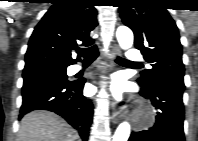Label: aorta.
Masks as SVG:
<instances>
[{
  "label": "aorta",
  "instance_id": "1",
  "mask_svg": "<svg viewBox=\"0 0 198 141\" xmlns=\"http://www.w3.org/2000/svg\"><path fill=\"white\" fill-rule=\"evenodd\" d=\"M116 37L122 49L126 50L132 47L134 37L128 27L120 26L116 31ZM130 130V124L126 121L122 122L115 131L113 141H127L130 136Z\"/></svg>",
  "mask_w": 198,
  "mask_h": 141
}]
</instances>
